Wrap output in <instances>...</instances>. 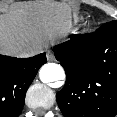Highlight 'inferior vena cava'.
<instances>
[{
	"instance_id": "inferior-vena-cava-1",
	"label": "inferior vena cava",
	"mask_w": 117,
	"mask_h": 117,
	"mask_svg": "<svg viewBox=\"0 0 117 117\" xmlns=\"http://www.w3.org/2000/svg\"><path fill=\"white\" fill-rule=\"evenodd\" d=\"M41 51V48L39 47H30L24 50L19 54L20 57L26 58V57H31L39 54Z\"/></svg>"
}]
</instances>
